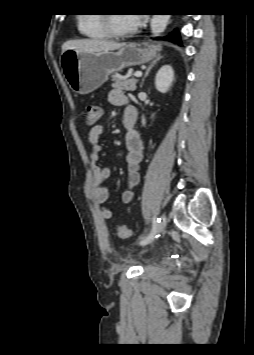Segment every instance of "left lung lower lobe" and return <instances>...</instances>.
Here are the masks:
<instances>
[{
  "instance_id": "obj_1",
  "label": "left lung lower lobe",
  "mask_w": 254,
  "mask_h": 355,
  "mask_svg": "<svg viewBox=\"0 0 254 355\" xmlns=\"http://www.w3.org/2000/svg\"><path fill=\"white\" fill-rule=\"evenodd\" d=\"M166 40L173 41L181 45L180 35L177 31L172 32L169 36L165 38Z\"/></svg>"
}]
</instances>
